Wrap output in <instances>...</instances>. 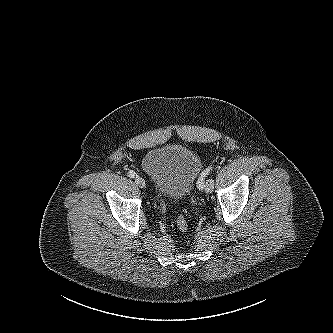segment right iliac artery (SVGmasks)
I'll use <instances>...</instances> for the list:
<instances>
[{"mask_svg": "<svg viewBox=\"0 0 333 333\" xmlns=\"http://www.w3.org/2000/svg\"><path fill=\"white\" fill-rule=\"evenodd\" d=\"M135 175H136V173H135L133 170H131V171L128 172V176H129L130 178H134Z\"/></svg>", "mask_w": 333, "mask_h": 333, "instance_id": "obj_1", "label": "right iliac artery"}]
</instances>
